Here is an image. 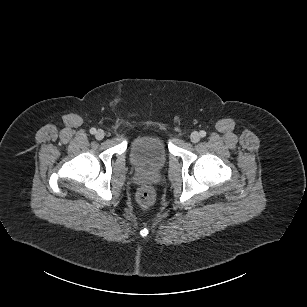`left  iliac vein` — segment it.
I'll return each mask as SVG.
<instances>
[{"label": "left iliac vein", "mask_w": 307, "mask_h": 307, "mask_svg": "<svg viewBox=\"0 0 307 307\" xmlns=\"http://www.w3.org/2000/svg\"><path fill=\"white\" fill-rule=\"evenodd\" d=\"M190 139L193 143H197L200 140V134L196 131L192 132L190 135Z\"/></svg>", "instance_id": "4c4485c4"}]
</instances>
